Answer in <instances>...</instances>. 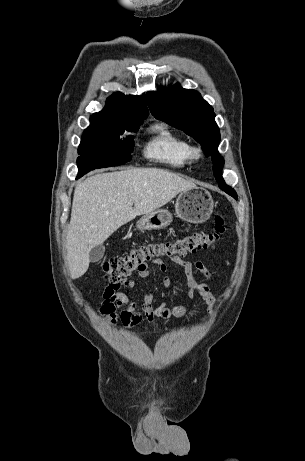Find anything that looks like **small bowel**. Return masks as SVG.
<instances>
[{
    "mask_svg": "<svg viewBox=\"0 0 305 461\" xmlns=\"http://www.w3.org/2000/svg\"><path fill=\"white\" fill-rule=\"evenodd\" d=\"M170 260L183 269L187 278L188 299L192 301L196 296L200 297L206 304L208 315L213 314L216 306V298L212 293L211 286L206 283H198L193 276L194 271L197 270L206 278L211 279L212 274L206 265L201 260L191 262L178 256L170 258ZM155 265L160 273L165 274L167 272L168 267L163 261H156ZM137 276L141 279H147L150 273L145 268L137 271ZM161 282L166 289H170L172 286L170 278L166 275L162 277ZM135 286L134 280L125 279L113 282L104 288L99 312L106 317L109 327L112 328L118 320L125 325H137L144 318L153 325L157 318L169 319L183 316L190 307V302L176 306H169L167 303H162L154 307V297L149 292L142 294L138 303L130 302L126 291L133 290Z\"/></svg>",
    "mask_w": 305,
    "mask_h": 461,
    "instance_id": "obj_1",
    "label": "small bowel"
}]
</instances>
